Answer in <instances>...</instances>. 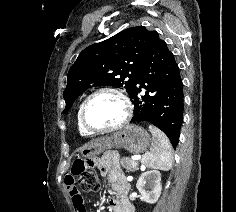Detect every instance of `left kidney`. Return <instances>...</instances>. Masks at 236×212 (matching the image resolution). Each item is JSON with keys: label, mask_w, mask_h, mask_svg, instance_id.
<instances>
[{"label": "left kidney", "mask_w": 236, "mask_h": 212, "mask_svg": "<svg viewBox=\"0 0 236 212\" xmlns=\"http://www.w3.org/2000/svg\"><path fill=\"white\" fill-rule=\"evenodd\" d=\"M136 186L143 201L151 204L157 202L162 190L160 172L156 170L144 172Z\"/></svg>", "instance_id": "left-kidney-1"}]
</instances>
